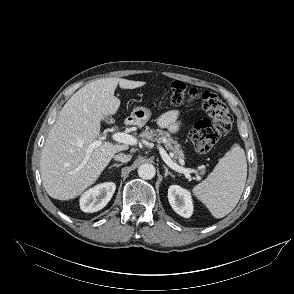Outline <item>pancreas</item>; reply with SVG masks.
<instances>
[{"instance_id": "obj_1", "label": "pancreas", "mask_w": 294, "mask_h": 294, "mask_svg": "<svg viewBox=\"0 0 294 294\" xmlns=\"http://www.w3.org/2000/svg\"><path fill=\"white\" fill-rule=\"evenodd\" d=\"M141 138L157 142L158 144L163 143L165 147L172 152L175 159L184 158V152L181 149L180 144L174 140L171 135L162 130L145 127L144 131L140 134Z\"/></svg>"}]
</instances>
